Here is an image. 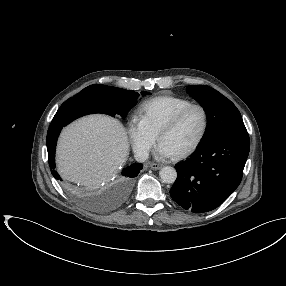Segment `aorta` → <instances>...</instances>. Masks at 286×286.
Here are the masks:
<instances>
[{"instance_id": "1", "label": "aorta", "mask_w": 286, "mask_h": 286, "mask_svg": "<svg viewBox=\"0 0 286 286\" xmlns=\"http://www.w3.org/2000/svg\"><path fill=\"white\" fill-rule=\"evenodd\" d=\"M159 176L165 183H174L177 178V172L175 168L166 166L159 171Z\"/></svg>"}]
</instances>
